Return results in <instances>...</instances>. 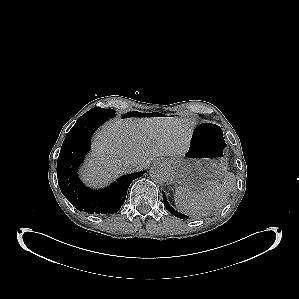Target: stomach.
<instances>
[{"mask_svg":"<svg viewBox=\"0 0 299 299\" xmlns=\"http://www.w3.org/2000/svg\"><path fill=\"white\" fill-rule=\"evenodd\" d=\"M167 161L175 181L187 188L201 189L218 182L228 169L222 129L215 122H199L192 132L188 149Z\"/></svg>","mask_w":299,"mask_h":299,"instance_id":"obj_1","label":"stomach"}]
</instances>
